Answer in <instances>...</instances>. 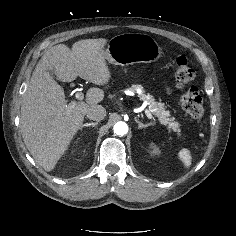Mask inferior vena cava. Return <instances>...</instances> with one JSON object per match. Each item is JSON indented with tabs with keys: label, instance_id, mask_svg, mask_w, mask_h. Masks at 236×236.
I'll list each match as a JSON object with an SVG mask.
<instances>
[{
	"label": "inferior vena cava",
	"instance_id": "obj_1",
	"mask_svg": "<svg viewBox=\"0 0 236 236\" xmlns=\"http://www.w3.org/2000/svg\"><path fill=\"white\" fill-rule=\"evenodd\" d=\"M86 116L90 120L100 121L106 116V110L101 105H92L86 111Z\"/></svg>",
	"mask_w": 236,
	"mask_h": 236
}]
</instances>
